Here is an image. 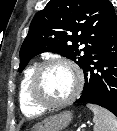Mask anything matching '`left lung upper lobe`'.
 <instances>
[{"mask_svg":"<svg viewBox=\"0 0 117 131\" xmlns=\"http://www.w3.org/2000/svg\"><path fill=\"white\" fill-rule=\"evenodd\" d=\"M112 9L108 0H50L30 24L18 71L43 52L58 53L84 69L102 41Z\"/></svg>","mask_w":117,"mask_h":131,"instance_id":"1","label":"left lung upper lobe"}]
</instances>
